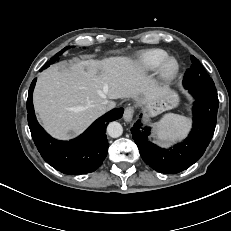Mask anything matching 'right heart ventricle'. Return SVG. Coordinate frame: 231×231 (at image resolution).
Wrapping results in <instances>:
<instances>
[{"label": "right heart ventricle", "mask_w": 231, "mask_h": 231, "mask_svg": "<svg viewBox=\"0 0 231 231\" xmlns=\"http://www.w3.org/2000/svg\"><path fill=\"white\" fill-rule=\"evenodd\" d=\"M167 56L168 52L161 48L143 50L136 56L133 70L138 75L153 73Z\"/></svg>", "instance_id": "e07e8e85"}]
</instances>
